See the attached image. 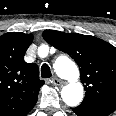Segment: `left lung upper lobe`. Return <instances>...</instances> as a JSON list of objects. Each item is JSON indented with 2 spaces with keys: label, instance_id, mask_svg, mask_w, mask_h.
<instances>
[{
  "label": "left lung upper lobe",
  "instance_id": "1",
  "mask_svg": "<svg viewBox=\"0 0 116 116\" xmlns=\"http://www.w3.org/2000/svg\"><path fill=\"white\" fill-rule=\"evenodd\" d=\"M43 38L78 64L86 91L81 104L116 108V48L99 38L45 30Z\"/></svg>",
  "mask_w": 116,
  "mask_h": 116
}]
</instances>
